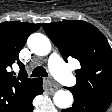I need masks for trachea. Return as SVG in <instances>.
<instances>
[{
    "label": "trachea",
    "instance_id": "1",
    "mask_svg": "<svg viewBox=\"0 0 112 112\" xmlns=\"http://www.w3.org/2000/svg\"><path fill=\"white\" fill-rule=\"evenodd\" d=\"M47 77L48 76V73L47 71L45 70V68L41 67V66H37L33 71H32V74H31V77Z\"/></svg>",
    "mask_w": 112,
    "mask_h": 112
}]
</instances>
